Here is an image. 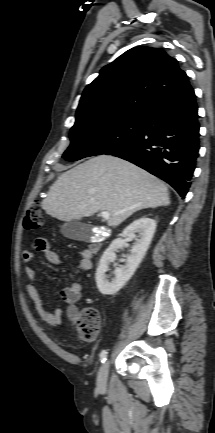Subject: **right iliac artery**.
<instances>
[{
    "label": "right iliac artery",
    "mask_w": 215,
    "mask_h": 433,
    "mask_svg": "<svg viewBox=\"0 0 215 433\" xmlns=\"http://www.w3.org/2000/svg\"><path fill=\"white\" fill-rule=\"evenodd\" d=\"M106 358H107V350H102V352L100 353V361L104 363L106 361Z\"/></svg>",
    "instance_id": "1"
}]
</instances>
